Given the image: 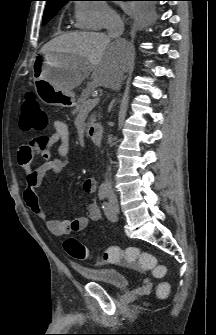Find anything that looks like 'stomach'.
I'll use <instances>...</instances> for the list:
<instances>
[{"label": "stomach", "instance_id": "1", "mask_svg": "<svg viewBox=\"0 0 216 335\" xmlns=\"http://www.w3.org/2000/svg\"><path fill=\"white\" fill-rule=\"evenodd\" d=\"M72 59L67 54L46 53L38 56L34 65V84L40 100L48 105L71 108L76 105L72 91L65 92L57 85V80L70 67Z\"/></svg>", "mask_w": 216, "mask_h": 335}]
</instances>
